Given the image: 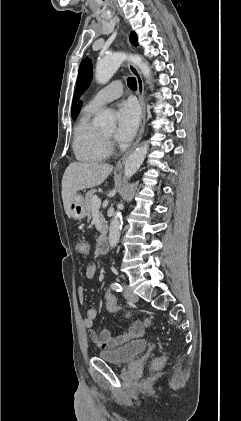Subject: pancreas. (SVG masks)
I'll list each match as a JSON object with an SVG mask.
<instances>
[{
    "label": "pancreas",
    "mask_w": 241,
    "mask_h": 421,
    "mask_svg": "<svg viewBox=\"0 0 241 421\" xmlns=\"http://www.w3.org/2000/svg\"><path fill=\"white\" fill-rule=\"evenodd\" d=\"M94 196H95V190L88 191L85 196V206L87 210L88 220L91 219V214H92V209H93L92 200ZM99 218H100L101 226L104 229L106 227V221L101 212H99Z\"/></svg>",
    "instance_id": "obj_1"
}]
</instances>
